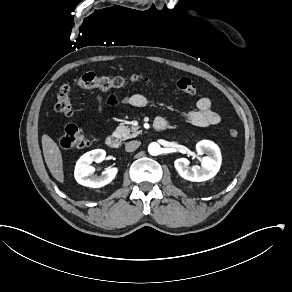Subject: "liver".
<instances>
[{"mask_svg": "<svg viewBox=\"0 0 292 292\" xmlns=\"http://www.w3.org/2000/svg\"><path fill=\"white\" fill-rule=\"evenodd\" d=\"M43 155L46 165L54 177L60 184L64 183L63 158L57 143L47 134H43L41 138Z\"/></svg>", "mask_w": 292, "mask_h": 292, "instance_id": "obj_1", "label": "liver"}]
</instances>
